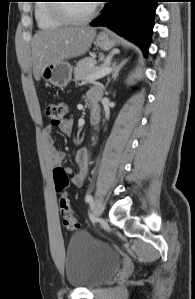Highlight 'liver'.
<instances>
[{"instance_id":"liver-1","label":"liver","mask_w":195,"mask_h":299,"mask_svg":"<svg viewBox=\"0 0 195 299\" xmlns=\"http://www.w3.org/2000/svg\"><path fill=\"white\" fill-rule=\"evenodd\" d=\"M95 36L96 29L89 26H65L35 33L31 41L35 80H40L46 65L85 54Z\"/></svg>"}]
</instances>
